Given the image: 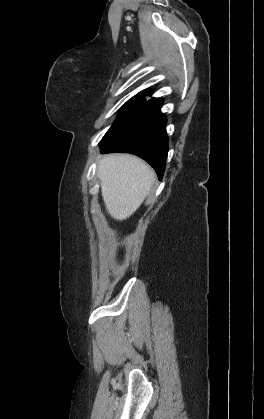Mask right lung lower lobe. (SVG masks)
Segmentation results:
<instances>
[{"label": "right lung lower lobe", "mask_w": 264, "mask_h": 419, "mask_svg": "<svg viewBox=\"0 0 264 419\" xmlns=\"http://www.w3.org/2000/svg\"><path fill=\"white\" fill-rule=\"evenodd\" d=\"M163 100H149L139 116L123 133L105 144L101 153L124 152L146 160L162 179L168 152L166 117L160 111Z\"/></svg>", "instance_id": "right-lung-lower-lobe-1"}]
</instances>
